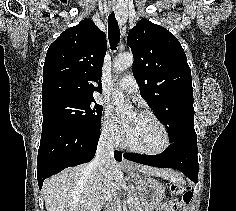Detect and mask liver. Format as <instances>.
<instances>
[{
  "label": "liver",
  "mask_w": 236,
  "mask_h": 211,
  "mask_svg": "<svg viewBox=\"0 0 236 211\" xmlns=\"http://www.w3.org/2000/svg\"><path fill=\"white\" fill-rule=\"evenodd\" d=\"M135 168L148 176L176 181L178 175L172 170L135 164ZM120 163L113 161L102 172L90 169L89 164L69 167L44 181L43 195L47 211H100L102 206L123 183ZM137 184V183H136Z\"/></svg>",
  "instance_id": "1"
}]
</instances>
